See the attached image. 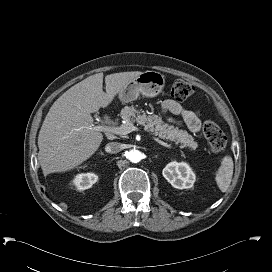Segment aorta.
<instances>
[{"label":"aorta","mask_w":272,"mask_h":272,"mask_svg":"<svg viewBox=\"0 0 272 272\" xmlns=\"http://www.w3.org/2000/svg\"><path fill=\"white\" fill-rule=\"evenodd\" d=\"M128 159L133 162V163H137L141 160L142 158V154L139 150H130L127 154Z\"/></svg>","instance_id":"obj_1"}]
</instances>
